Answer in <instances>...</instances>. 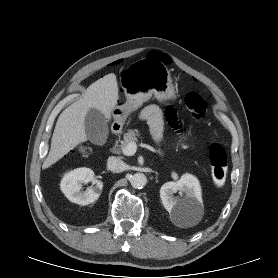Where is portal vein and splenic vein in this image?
I'll list each match as a JSON object with an SVG mask.
<instances>
[{
    "label": "portal vein and splenic vein",
    "instance_id": "1",
    "mask_svg": "<svg viewBox=\"0 0 278 278\" xmlns=\"http://www.w3.org/2000/svg\"><path fill=\"white\" fill-rule=\"evenodd\" d=\"M137 144L135 142H130L127 146L122 149V153L126 156H132L136 153Z\"/></svg>",
    "mask_w": 278,
    "mask_h": 278
}]
</instances>
